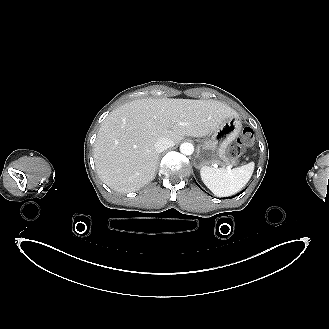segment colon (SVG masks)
Masks as SVG:
<instances>
[{"label":"colon","instance_id":"obj_1","mask_svg":"<svg viewBox=\"0 0 329 329\" xmlns=\"http://www.w3.org/2000/svg\"><path fill=\"white\" fill-rule=\"evenodd\" d=\"M254 142V135L253 131L249 128H245L239 138V145L240 146H251Z\"/></svg>","mask_w":329,"mask_h":329}]
</instances>
